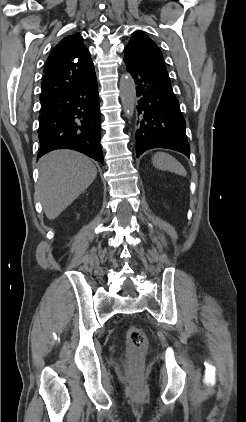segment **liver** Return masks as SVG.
Here are the masks:
<instances>
[{
  "mask_svg": "<svg viewBox=\"0 0 246 422\" xmlns=\"http://www.w3.org/2000/svg\"><path fill=\"white\" fill-rule=\"evenodd\" d=\"M97 169L85 155L56 150L39 160L36 195L49 220L57 218L94 181Z\"/></svg>",
  "mask_w": 246,
  "mask_h": 422,
  "instance_id": "obj_1",
  "label": "liver"
}]
</instances>
